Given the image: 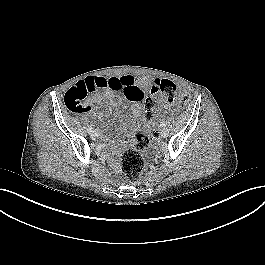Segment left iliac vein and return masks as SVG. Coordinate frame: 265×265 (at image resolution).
<instances>
[{"label":"left iliac vein","mask_w":265,"mask_h":265,"mask_svg":"<svg viewBox=\"0 0 265 265\" xmlns=\"http://www.w3.org/2000/svg\"><path fill=\"white\" fill-rule=\"evenodd\" d=\"M168 135H169V130H168L167 128H163V129L161 130V136H162L163 138H166V137H168Z\"/></svg>","instance_id":"left-iliac-vein-1"}]
</instances>
